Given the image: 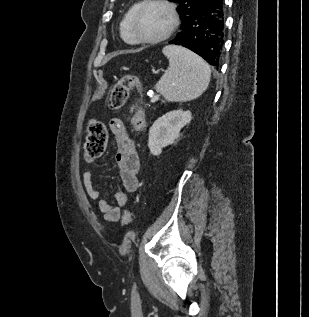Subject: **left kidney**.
Listing matches in <instances>:
<instances>
[{
	"mask_svg": "<svg viewBox=\"0 0 309 317\" xmlns=\"http://www.w3.org/2000/svg\"><path fill=\"white\" fill-rule=\"evenodd\" d=\"M192 119L190 111L174 110L158 118L149 129L148 147L151 154L159 155L162 149L179 137L180 130Z\"/></svg>",
	"mask_w": 309,
	"mask_h": 317,
	"instance_id": "obj_1",
	"label": "left kidney"
}]
</instances>
